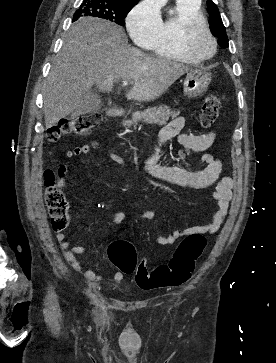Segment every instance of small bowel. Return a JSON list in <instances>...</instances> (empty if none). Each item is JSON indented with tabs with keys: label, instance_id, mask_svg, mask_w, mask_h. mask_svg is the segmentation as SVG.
Returning <instances> with one entry per match:
<instances>
[{
	"label": "small bowel",
	"instance_id": "small-bowel-1",
	"mask_svg": "<svg viewBox=\"0 0 276 363\" xmlns=\"http://www.w3.org/2000/svg\"><path fill=\"white\" fill-rule=\"evenodd\" d=\"M185 122V118L179 116L171 120L160 130L156 143L145 161V169L152 178L181 187L201 189L214 186L213 196L216 203V209L210 221L203 226L179 228L170 235L158 237L156 242L160 245H172L178 239L190 234L199 233L207 235L216 232L227 215L232 198L234 181L230 177L221 178L223 163L219 158L210 154H204L201 158L204 168L195 171L188 170L182 166H164L158 164L160 147L172 138H177L178 142L184 148L195 152L206 151L214 144L217 138L216 131L213 130L200 135L186 134L183 133ZM90 151V145L84 144L68 150L66 152V157L68 159H73L78 156L86 155ZM110 157L113 161L123 164V160L119 156L111 154ZM66 169V166L60 168V177L57 182L59 188H62L66 183ZM154 215L155 211L151 209L144 211L141 214V218L143 220H149L152 219ZM124 218V212H116L112 215V222L114 224H119L123 222ZM56 238L63 250L64 257L70 266L76 272L83 275L91 284H96L107 278V275L99 269H91L77 259L78 254L86 251L84 245L70 246L64 233H58ZM111 278L116 282H120L124 279V274L117 270L111 274Z\"/></svg>",
	"mask_w": 276,
	"mask_h": 363
}]
</instances>
